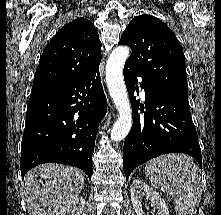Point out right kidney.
I'll return each instance as SVG.
<instances>
[{
    "label": "right kidney",
    "instance_id": "1",
    "mask_svg": "<svg viewBox=\"0 0 221 215\" xmlns=\"http://www.w3.org/2000/svg\"><path fill=\"white\" fill-rule=\"evenodd\" d=\"M85 199L76 198L64 206L56 215H82Z\"/></svg>",
    "mask_w": 221,
    "mask_h": 215
}]
</instances>
